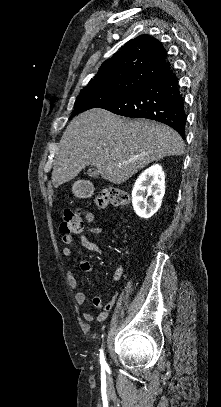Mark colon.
Segmentation results:
<instances>
[{
    "mask_svg": "<svg viewBox=\"0 0 221 407\" xmlns=\"http://www.w3.org/2000/svg\"><path fill=\"white\" fill-rule=\"evenodd\" d=\"M97 206L104 209L108 204L113 206H125L130 203V196L121 188L109 186L96 196ZM93 215L88 212L66 211L59 230L65 236H72L81 233L85 228V222H92Z\"/></svg>",
    "mask_w": 221,
    "mask_h": 407,
    "instance_id": "colon-1",
    "label": "colon"
}]
</instances>
